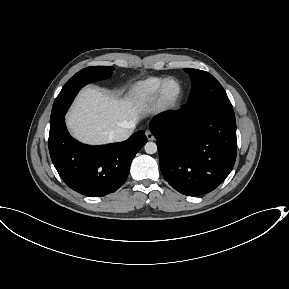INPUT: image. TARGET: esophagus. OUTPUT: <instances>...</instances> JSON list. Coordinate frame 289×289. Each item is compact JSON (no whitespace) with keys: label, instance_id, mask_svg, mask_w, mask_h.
Listing matches in <instances>:
<instances>
[{"label":"esophagus","instance_id":"esophagus-1","mask_svg":"<svg viewBox=\"0 0 289 289\" xmlns=\"http://www.w3.org/2000/svg\"><path fill=\"white\" fill-rule=\"evenodd\" d=\"M145 135H146L147 139L150 140V141H153L155 139L154 135L149 130H147L145 132Z\"/></svg>","mask_w":289,"mask_h":289}]
</instances>
